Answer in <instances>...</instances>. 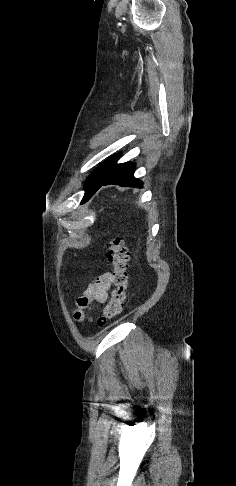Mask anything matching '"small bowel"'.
Masks as SVG:
<instances>
[{"label":"small bowel","mask_w":236,"mask_h":486,"mask_svg":"<svg viewBox=\"0 0 236 486\" xmlns=\"http://www.w3.org/2000/svg\"><path fill=\"white\" fill-rule=\"evenodd\" d=\"M112 285V275L109 272L98 276L87 288L84 295L77 300V310L74 318L82 322L92 309L93 303H104L109 296V290Z\"/></svg>","instance_id":"obj_1"}]
</instances>
